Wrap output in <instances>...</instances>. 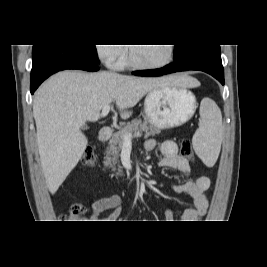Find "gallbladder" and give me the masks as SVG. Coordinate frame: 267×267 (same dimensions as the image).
<instances>
[{
	"instance_id": "bac80fb5",
	"label": "gallbladder",
	"mask_w": 267,
	"mask_h": 267,
	"mask_svg": "<svg viewBox=\"0 0 267 267\" xmlns=\"http://www.w3.org/2000/svg\"><path fill=\"white\" fill-rule=\"evenodd\" d=\"M82 129H83V130H87V129H88V126L83 125V126H82Z\"/></svg>"
}]
</instances>
